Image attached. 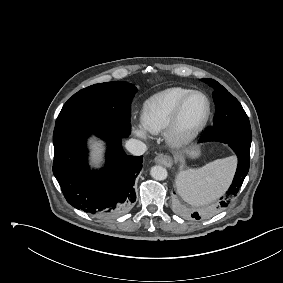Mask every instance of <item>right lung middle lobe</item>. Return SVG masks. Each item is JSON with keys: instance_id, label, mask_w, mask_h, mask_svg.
Here are the masks:
<instances>
[{"instance_id": "right-lung-middle-lobe-1", "label": "right lung middle lobe", "mask_w": 283, "mask_h": 283, "mask_svg": "<svg viewBox=\"0 0 283 283\" xmlns=\"http://www.w3.org/2000/svg\"><path fill=\"white\" fill-rule=\"evenodd\" d=\"M136 92L134 85L120 81L95 84L74 94L57 117L54 147L84 131L106 130L128 137L130 104Z\"/></svg>"}]
</instances>
